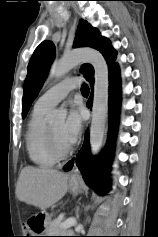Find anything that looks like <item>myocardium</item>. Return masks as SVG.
<instances>
[{"instance_id": "1", "label": "myocardium", "mask_w": 158, "mask_h": 237, "mask_svg": "<svg viewBox=\"0 0 158 237\" xmlns=\"http://www.w3.org/2000/svg\"><path fill=\"white\" fill-rule=\"evenodd\" d=\"M45 140H46V145L49 150V153L55 160L65 159L72 152V147H69L66 150H61L58 148V146L56 145L55 140L53 138L50 126L46 127Z\"/></svg>"}]
</instances>
